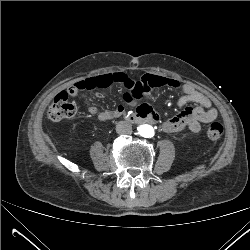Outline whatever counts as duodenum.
Masks as SVG:
<instances>
[{
	"instance_id": "duodenum-1",
	"label": "duodenum",
	"mask_w": 250,
	"mask_h": 250,
	"mask_svg": "<svg viewBox=\"0 0 250 250\" xmlns=\"http://www.w3.org/2000/svg\"><path fill=\"white\" fill-rule=\"evenodd\" d=\"M114 117H123L131 123H156L158 117L156 113L151 109H145L138 111L136 114H128L125 109H117L115 111H105L99 114V120L108 121Z\"/></svg>"
}]
</instances>
